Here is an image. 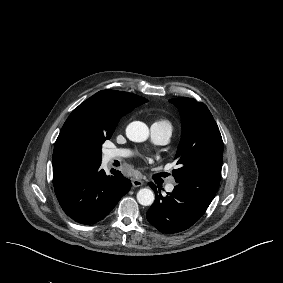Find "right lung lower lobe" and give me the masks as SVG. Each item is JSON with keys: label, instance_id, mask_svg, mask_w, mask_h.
<instances>
[{"label": "right lung lower lobe", "instance_id": "right-lung-lower-lobe-1", "mask_svg": "<svg viewBox=\"0 0 283 283\" xmlns=\"http://www.w3.org/2000/svg\"><path fill=\"white\" fill-rule=\"evenodd\" d=\"M99 167L54 187L64 212L78 223L94 224L105 218L131 188V181L120 171L113 170V175L107 176Z\"/></svg>", "mask_w": 283, "mask_h": 283}]
</instances>
